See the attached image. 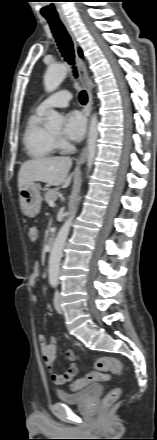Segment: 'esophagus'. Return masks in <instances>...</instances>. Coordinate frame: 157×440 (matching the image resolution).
<instances>
[{
	"label": "esophagus",
	"instance_id": "1",
	"mask_svg": "<svg viewBox=\"0 0 157 440\" xmlns=\"http://www.w3.org/2000/svg\"><path fill=\"white\" fill-rule=\"evenodd\" d=\"M61 20H62L66 30L68 31L69 35L71 36L73 44H74L75 58H76V63H77L78 71H79V76H80L81 82H82L84 88L86 89V92L88 95V103L85 107V113H86V116L89 117L90 113H91L92 105H93V96H92V90H91V86H90L89 79H88L86 64L78 55L77 41H76L75 35H74L69 23H68V20L66 18H61ZM86 158H87V147H84L78 157L77 164L80 165V164L84 163Z\"/></svg>",
	"mask_w": 157,
	"mask_h": 440
}]
</instances>
